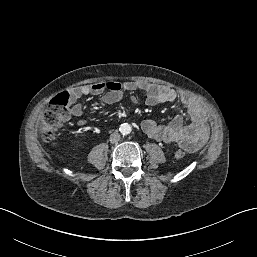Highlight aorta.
Returning a JSON list of instances; mask_svg holds the SVG:
<instances>
[{"mask_svg": "<svg viewBox=\"0 0 257 257\" xmlns=\"http://www.w3.org/2000/svg\"><path fill=\"white\" fill-rule=\"evenodd\" d=\"M119 130L123 135H127V134L131 133L132 127L128 123H123L120 125Z\"/></svg>", "mask_w": 257, "mask_h": 257, "instance_id": "762f6f07", "label": "aorta"}]
</instances>
